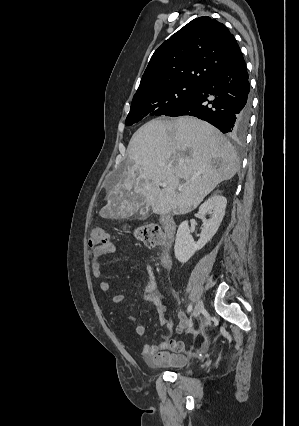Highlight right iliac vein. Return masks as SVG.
I'll return each instance as SVG.
<instances>
[{"mask_svg":"<svg viewBox=\"0 0 299 426\" xmlns=\"http://www.w3.org/2000/svg\"><path fill=\"white\" fill-rule=\"evenodd\" d=\"M203 308H204L203 302L199 300L194 307V310L192 313L193 317L194 318L198 317L200 313L202 312Z\"/></svg>","mask_w":299,"mask_h":426,"instance_id":"1","label":"right iliac vein"}]
</instances>
